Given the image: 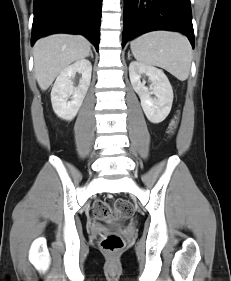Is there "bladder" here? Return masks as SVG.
Instances as JSON below:
<instances>
[{
	"mask_svg": "<svg viewBox=\"0 0 231 281\" xmlns=\"http://www.w3.org/2000/svg\"><path fill=\"white\" fill-rule=\"evenodd\" d=\"M123 223H118V224H116L117 226H121Z\"/></svg>",
	"mask_w": 231,
	"mask_h": 281,
	"instance_id": "31cf9c89",
	"label": "bladder"
}]
</instances>
